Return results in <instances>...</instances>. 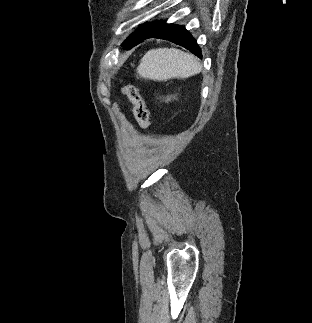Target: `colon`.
Here are the masks:
<instances>
[{
  "label": "colon",
  "instance_id": "1",
  "mask_svg": "<svg viewBox=\"0 0 312 323\" xmlns=\"http://www.w3.org/2000/svg\"><path fill=\"white\" fill-rule=\"evenodd\" d=\"M122 94L132 104L134 116L139 126L144 130L149 129L151 126L149 111L139 89L133 84H125L122 88Z\"/></svg>",
  "mask_w": 312,
  "mask_h": 323
}]
</instances>
